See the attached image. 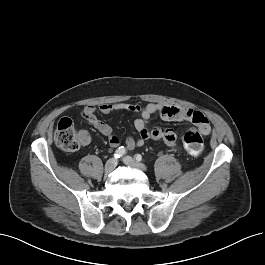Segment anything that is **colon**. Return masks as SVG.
<instances>
[{
    "mask_svg": "<svg viewBox=\"0 0 265 265\" xmlns=\"http://www.w3.org/2000/svg\"><path fill=\"white\" fill-rule=\"evenodd\" d=\"M56 144L67 152H75L80 148L81 141L74 123L69 118H62L55 131ZM183 147L191 156H198L203 151L204 141L200 132L187 129L182 134Z\"/></svg>",
    "mask_w": 265,
    "mask_h": 265,
    "instance_id": "5ec220e1",
    "label": "colon"
}]
</instances>
